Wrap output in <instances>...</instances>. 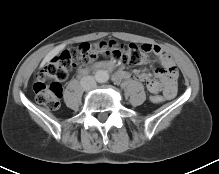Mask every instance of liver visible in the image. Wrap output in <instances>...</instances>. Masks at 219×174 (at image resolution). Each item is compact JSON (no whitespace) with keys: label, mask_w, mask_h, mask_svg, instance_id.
Wrapping results in <instances>:
<instances>
[{"label":"liver","mask_w":219,"mask_h":174,"mask_svg":"<svg viewBox=\"0 0 219 174\" xmlns=\"http://www.w3.org/2000/svg\"><path fill=\"white\" fill-rule=\"evenodd\" d=\"M63 48H64L63 45H62V46H57V47L54 48L51 52H49V53L47 54V56L45 57V59H44L42 65H43L45 62L49 61L53 56L57 55V54L60 52V50H62Z\"/></svg>","instance_id":"liver-1"}]
</instances>
